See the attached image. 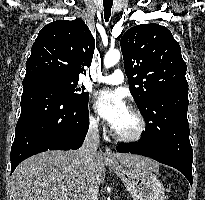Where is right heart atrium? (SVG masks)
Instances as JSON below:
<instances>
[{
	"instance_id": "right-heart-atrium-1",
	"label": "right heart atrium",
	"mask_w": 205,
	"mask_h": 200,
	"mask_svg": "<svg viewBox=\"0 0 205 200\" xmlns=\"http://www.w3.org/2000/svg\"><path fill=\"white\" fill-rule=\"evenodd\" d=\"M89 125L93 130H98L100 126V120L96 115H90L89 117Z\"/></svg>"
}]
</instances>
